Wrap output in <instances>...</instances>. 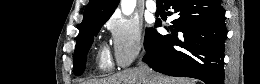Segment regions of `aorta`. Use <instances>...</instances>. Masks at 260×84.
<instances>
[{
  "label": "aorta",
  "instance_id": "obj_1",
  "mask_svg": "<svg viewBox=\"0 0 260 84\" xmlns=\"http://www.w3.org/2000/svg\"><path fill=\"white\" fill-rule=\"evenodd\" d=\"M136 6V0H122L121 9L125 15H130Z\"/></svg>",
  "mask_w": 260,
  "mask_h": 84
}]
</instances>
